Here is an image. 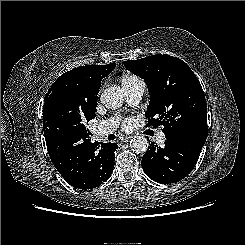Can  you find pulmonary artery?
<instances>
[{
	"label": "pulmonary artery",
	"instance_id": "obj_1",
	"mask_svg": "<svg viewBox=\"0 0 245 245\" xmlns=\"http://www.w3.org/2000/svg\"><path fill=\"white\" fill-rule=\"evenodd\" d=\"M123 88L127 102L131 105H136L142 99L145 90V83L141 79H138L132 84L123 86ZM116 128L117 120L115 118H110L97 125L95 128V134L98 137H104L111 134ZM157 140L159 142H163L165 140V135L162 131L157 134Z\"/></svg>",
	"mask_w": 245,
	"mask_h": 245
}]
</instances>
